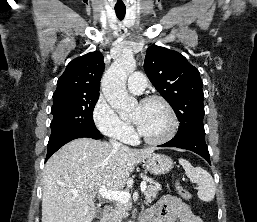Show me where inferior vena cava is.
<instances>
[{
    "mask_svg": "<svg viewBox=\"0 0 257 222\" xmlns=\"http://www.w3.org/2000/svg\"><path fill=\"white\" fill-rule=\"evenodd\" d=\"M110 143L114 149H118L121 146V143H119L118 141H116L114 139L110 140Z\"/></svg>",
    "mask_w": 257,
    "mask_h": 222,
    "instance_id": "602c4592",
    "label": "inferior vena cava"
}]
</instances>
